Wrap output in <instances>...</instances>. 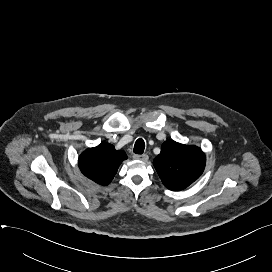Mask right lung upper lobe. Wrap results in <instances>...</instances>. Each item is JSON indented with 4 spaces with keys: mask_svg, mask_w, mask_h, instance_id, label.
<instances>
[{
    "mask_svg": "<svg viewBox=\"0 0 272 272\" xmlns=\"http://www.w3.org/2000/svg\"><path fill=\"white\" fill-rule=\"evenodd\" d=\"M125 159L127 155L124 151L116 150L113 145L103 142L84 151L78 164L86 177L100 185H108Z\"/></svg>",
    "mask_w": 272,
    "mask_h": 272,
    "instance_id": "right-lung-upper-lobe-1",
    "label": "right lung upper lobe"
}]
</instances>
